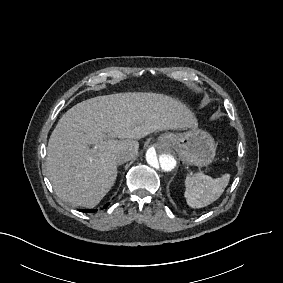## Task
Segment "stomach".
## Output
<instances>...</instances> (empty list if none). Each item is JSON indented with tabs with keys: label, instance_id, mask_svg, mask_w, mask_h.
<instances>
[{
	"label": "stomach",
	"instance_id": "0dacf381",
	"mask_svg": "<svg viewBox=\"0 0 283 283\" xmlns=\"http://www.w3.org/2000/svg\"><path fill=\"white\" fill-rule=\"evenodd\" d=\"M159 146L177 151L182 162L198 167L208 166L215 157L213 138L203 130H188L181 133L168 132L157 138Z\"/></svg>",
	"mask_w": 283,
	"mask_h": 283
}]
</instances>
